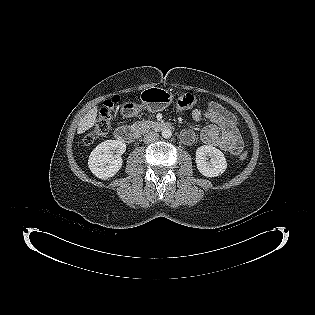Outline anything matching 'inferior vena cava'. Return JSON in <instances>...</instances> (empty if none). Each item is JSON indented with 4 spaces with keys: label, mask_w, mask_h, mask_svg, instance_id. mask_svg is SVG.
Returning a JSON list of instances; mask_svg holds the SVG:
<instances>
[{
    "label": "inferior vena cava",
    "mask_w": 315,
    "mask_h": 315,
    "mask_svg": "<svg viewBox=\"0 0 315 315\" xmlns=\"http://www.w3.org/2000/svg\"><path fill=\"white\" fill-rule=\"evenodd\" d=\"M159 139V134L156 132H150L144 136V143H151Z\"/></svg>",
    "instance_id": "1"
}]
</instances>
